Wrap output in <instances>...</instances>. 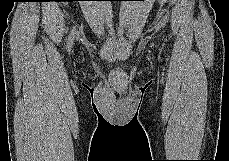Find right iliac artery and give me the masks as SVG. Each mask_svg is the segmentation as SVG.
Here are the masks:
<instances>
[{"label":"right iliac artery","mask_w":229,"mask_h":161,"mask_svg":"<svg viewBox=\"0 0 229 161\" xmlns=\"http://www.w3.org/2000/svg\"><path fill=\"white\" fill-rule=\"evenodd\" d=\"M74 34H75V27H73V29L71 30V33H70L68 41H67L68 51L71 50V47H72V44H73V40H74Z\"/></svg>","instance_id":"1"}]
</instances>
